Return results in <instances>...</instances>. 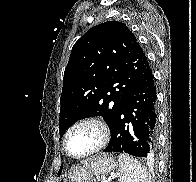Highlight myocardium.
Wrapping results in <instances>:
<instances>
[{
    "label": "myocardium",
    "mask_w": 196,
    "mask_h": 182,
    "mask_svg": "<svg viewBox=\"0 0 196 182\" xmlns=\"http://www.w3.org/2000/svg\"><path fill=\"white\" fill-rule=\"evenodd\" d=\"M83 126L93 127L97 131L98 140H97V143L95 144V146L92 149H90L88 152H86L82 155H74L69 151L68 139L73 131H75L76 129L83 127ZM109 137H110L109 128L103 120H101L100 118H97V117H92V116L85 117V118H82V119L76 121L74 124H72L69 127V129L67 130V132L64 136V139H63V148H64L65 153L69 157L74 158V159H85V158L91 157V156L95 155L96 153H98L99 151H101L108 143Z\"/></svg>",
    "instance_id": "f54148a6"
}]
</instances>
